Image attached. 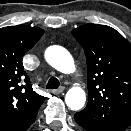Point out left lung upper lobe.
Masks as SVG:
<instances>
[{
    "label": "left lung upper lobe",
    "mask_w": 131,
    "mask_h": 131,
    "mask_svg": "<svg viewBox=\"0 0 131 131\" xmlns=\"http://www.w3.org/2000/svg\"><path fill=\"white\" fill-rule=\"evenodd\" d=\"M71 34L87 60L89 100L77 114L94 131L131 125V44L109 26L85 24Z\"/></svg>",
    "instance_id": "left-lung-upper-lobe-1"
}]
</instances>
